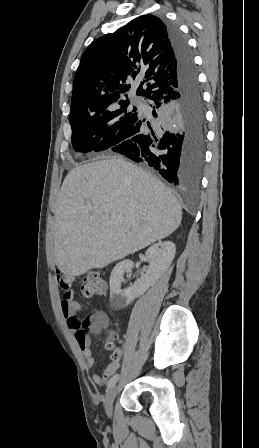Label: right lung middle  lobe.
<instances>
[{"label": "right lung middle lobe", "instance_id": "obj_1", "mask_svg": "<svg viewBox=\"0 0 259 448\" xmlns=\"http://www.w3.org/2000/svg\"><path fill=\"white\" fill-rule=\"evenodd\" d=\"M129 104L70 114L72 146L78 152L111 149L138 119L137 108Z\"/></svg>", "mask_w": 259, "mask_h": 448}]
</instances>
